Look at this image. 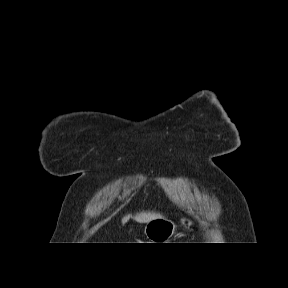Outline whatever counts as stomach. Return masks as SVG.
Returning a JSON list of instances; mask_svg holds the SVG:
<instances>
[{"instance_id":"obj_1","label":"stomach","mask_w":288,"mask_h":288,"mask_svg":"<svg viewBox=\"0 0 288 288\" xmlns=\"http://www.w3.org/2000/svg\"><path fill=\"white\" fill-rule=\"evenodd\" d=\"M181 222L188 227L192 225V221L186 218ZM175 229L176 225L171 220L160 217L146 223L144 233L146 238L152 241L150 243H167L166 241L174 235Z\"/></svg>"}]
</instances>
